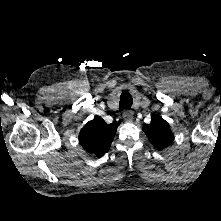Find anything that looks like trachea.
Here are the masks:
<instances>
[{"mask_svg":"<svg viewBox=\"0 0 221 221\" xmlns=\"http://www.w3.org/2000/svg\"><path fill=\"white\" fill-rule=\"evenodd\" d=\"M132 104H133V99H132V96L129 94V92L127 91L122 92L120 96V102H119L120 111L130 109Z\"/></svg>","mask_w":221,"mask_h":221,"instance_id":"3493384b","label":"trachea"}]
</instances>
